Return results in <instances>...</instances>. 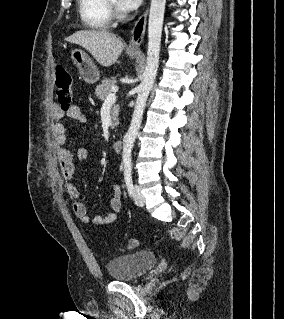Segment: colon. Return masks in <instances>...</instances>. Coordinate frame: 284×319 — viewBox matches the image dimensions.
I'll return each mask as SVG.
<instances>
[{
    "mask_svg": "<svg viewBox=\"0 0 284 319\" xmlns=\"http://www.w3.org/2000/svg\"><path fill=\"white\" fill-rule=\"evenodd\" d=\"M55 93L56 100L63 111H67L73 100V84L72 77L66 68L63 66H58L55 71ZM139 246L137 239H129L125 248L122 251H131Z\"/></svg>",
    "mask_w": 284,
    "mask_h": 319,
    "instance_id": "1",
    "label": "colon"
}]
</instances>
